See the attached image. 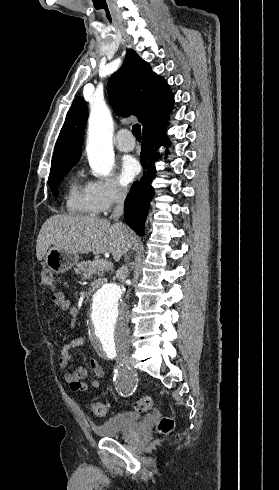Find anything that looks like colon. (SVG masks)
I'll return each instance as SVG.
<instances>
[{
	"instance_id": "5ec220e1",
	"label": "colon",
	"mask_w": 279,
	"mask_h": 490,
	"mask_svg": "<svg viewBox=\"0 0 279 490\" xmlns=\"http://www.w3.org/2000/svg\"><path fill=\"white\" fill-rule=\"evenodd\" d=\"M40 285L46 288H54L56 285V277L53 271L45 269L40 276ZM152 398L149 396L141 397L134 404V409L137 412H144L151 408ZM90 410L97 416H108L110 414V406L102 402H92ZM174 427V420L169 415H164L159 421L157 428L161 434H169Z\"/></svg>"
}]
</instances>
